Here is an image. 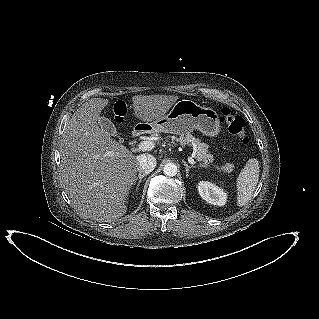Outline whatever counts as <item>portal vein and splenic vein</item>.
Listing matches in <instances>:
<instances>
[{
    "instance_id": "portal-vein-and-splenic-vein-1",
    "label": "portal vein and splenic vein",
    "mask_w": 319,
    "mask_h": 319,
    "mask_svg": "<svg viewBox=\"0 0 319 319\" xmlns=\"http://www.w3.org/2000/svg\"><path fill=\"white\" fill-rule=\"evenodd\" d=\"M155 147V144L154 142H151V141H142L138 144V150H141V151H150L152 150L153 148ZM188 162L191 164V165H194L195 164V161L193 159V156H190L188 158Z\"/></svg>"
}]
</instances>
